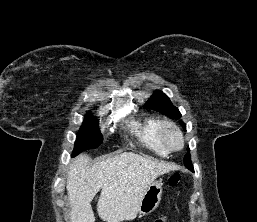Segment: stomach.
Returning a JSON list of instances; mask_svg holds the SVG:
<instances>
[{"mask_svg":"<svg viewBox=\"0 0 257 222\" xmlns=\"http://www.w3.org/2000/svg\"><path fill=\"white\" fill-rule=\"evenodd\" d=\"M162 185L161 180H156L148 187L139 205L140 215H148L158 207L162 197Z\"/></svg>","mask_w":257,"mask_h":222,"instance_id":"stomach-1","label":"stomach"}]
</instances>
